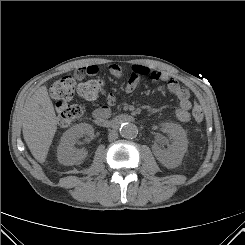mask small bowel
<instances>
[{
	"instance_id": "1",
	"label": "small bowel",
	"mask_w": 245,
	"mask_h": 245,
	"mask_svg": "<svg viewBox=\"0 0 245 245\" xmlns=\"http://www.w3.org/2000/svg\"><path fill=\"white\" fill-rule=\"evenodd\" d=\"M108 72L115 78H120L124 74V69L118 64H109ZM99 71V67L95 64L88 65L76 70L75 76L78 80H82L85 76L96 75ZM143 77H149L154 81H160L166 83L168 90L176 96L178 99V107L175 110L176 118L183 123L192 120L191 108L192 103L190 100V93L188 89L179 84V82L168 76L166 73L151 69L147 66L134 64L130 67V73L125 85V92L132 93L139 86ZM117 102V95L115 93H109L106 98V105L96 108L92 112L94 120L98 118H108L111 114V106Z\"/></svg>"
}]
</instances>
